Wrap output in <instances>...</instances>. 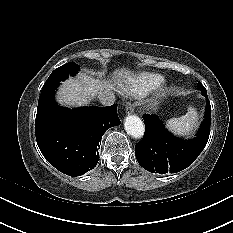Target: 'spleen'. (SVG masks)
I'll use <instances>...</instances> for the list:
<instances>
[{
  "label": "spleen",
  "mask_w": 233,
  "mask_h": 233,
  "mask_svg": "<svg viewBox=\"0 0 233 233\" xmlns=\"http://www.w3.org/2000/svg\"><path fill=\"white\" fill-rule=\"evenodd\" d=\"M166 125L170 131L177 135H189L198 127V113L195 108L190 106L185 115L169 119Z\"/></svg>",
  "instance_id": "obj_1"
}]
</instances>
